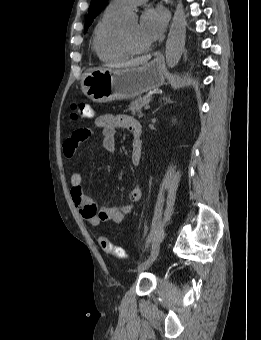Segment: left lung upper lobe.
Listing matches in <instances>:
<instances>
[{"mask_svg": "<svg viewBox=\"0 0 261 340\" xmlns=\"http://www.w3.org/2000/svg\"><path fill=\"white\" fill-rule=\"evenodd\" d=\"M108 0H92L89 10H88V15L86 17V22H85V33L88 29V27L92 24L93 19L101 12L102 8L106 4Z\"/></svg>", "mask_w": 261, "mask_h": 340, "instance_id": "left-lung-upper-lobe-1", "label": "left lung upper lobe"}]
</instances>
